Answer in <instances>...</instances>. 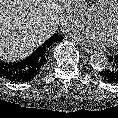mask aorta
<instances>
[{
	"mask_svg": "<svg viewBox=\"0 0 118 118\" xmlns=\"http://www.w3.org/2000/svg\"><path fill=\"white\" fill-rule=\"evenodd\" d=\"M90 64L93 69L102 70L108 64V59L106 55L101 52L94 53L90 58Z\"/></svg>",
	"mask_w": 118,
	"mask_h": 118,
	"instance_id": "aorta-1",
	"label": "aorta"
}]
</instances>
